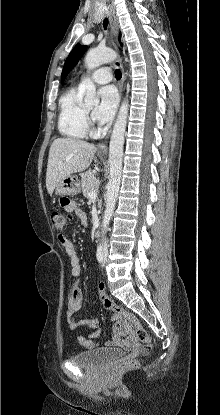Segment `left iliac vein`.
Returning <instances> with one entry per match:
<instances>
[{
  "label": "left iliac vein",
  "mask_w": 220,
  "mask_h": 415,
  "mask_svg": "<svg viewBox=\"0 0 220 415\" xmlns=\"http://www.w3.org/2000/svg\"><path fill=\"white\" fill-rule=\"evenodd\" d=\"M106 258H107V252L105 251V253H104V263H103V266H104V264L106 262Z\"/></svg>",
  "instance_id": "4c4485c4"
}]
</instances>
